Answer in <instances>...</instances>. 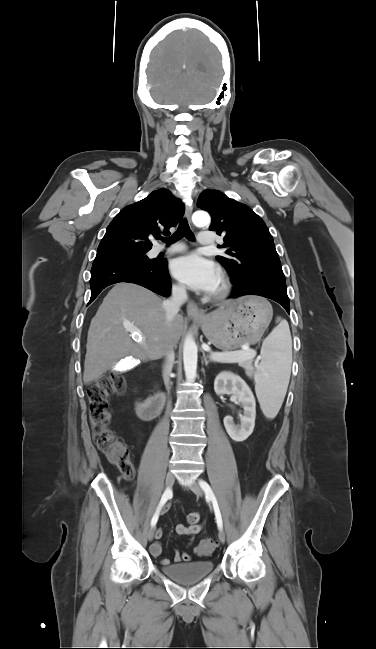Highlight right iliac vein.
Returning a JSON list of instances; mask_svg holds the SVG:
<instances>
[{
  "label": "right iliac vein",
  "instance_id": "right-iliac-vein-1",
  "mask_svg": "<svg viewBox=\"0 0 376 649\" xmlns=\"http://www.w3.org/2000/svg\"><path fill=\"white\" fill-rule=\"evenodd\" d=\"M174 481H175V477H174L173 473L168 472L167 475H166V480H165L166 487L167 488L172 487L173 484H174ZM154 532H155V528H154V526H152L148 530V533H147V538H148L149 541L153 540Z\"/></svg>",
  "mask_w": 376,
  "mask_h": 649
}]
</instances>
